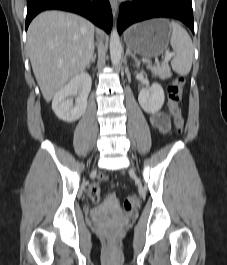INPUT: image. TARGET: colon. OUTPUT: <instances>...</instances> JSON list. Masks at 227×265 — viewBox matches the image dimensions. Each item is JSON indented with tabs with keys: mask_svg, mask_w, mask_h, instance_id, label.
Returning a JSON list of instances; mask_svg holds the SVG:
<instances>
[{
	"mask_svg": "<svg viewBox=\"0 0 227 265\" xmlns=\"http://www.w3.org/2000/svg\"><path fill=\"white\" fill-rule=\"evenodd\" d=\"M185 80L183 77L178 76L172 79L168 87V109L171 117L173 118L174 125L178 133H182L184 129V119L181 110L182 93ZM108 181V176L101 174L98 181L92 184L89 188L88 195L93 203L100 201L101 187L100 184ZM138 204L136 195L131 194L124 200V208L132 210ZM108 243H112V238H107Z\"/></svg>",
	"mask_w": 227,
	"mask_h": 265,
	"instance_id": "1",
	"label": "colon"
}]
</instances>
